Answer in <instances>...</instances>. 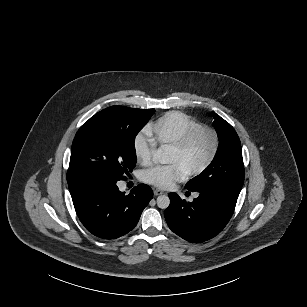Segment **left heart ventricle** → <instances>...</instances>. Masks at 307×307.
Here are the masks:
<instances>
[{
	"mask_svg": "<svg viewBox=\"0 0 307 307\" xmlns=\"http://www.w3.org/2000/svg\"><path fill=\"white\" fill-rule=\"evenodd\" d=\"M212 146V137L209 134H203L183 152L168 149L163 161L177 163L188 172L199 166L207 158Z\"/></svg>",
	"mask_w": 307,
	"mask_h": 307,
	"instance_id": "left-heart-ventricle-1",
	"label": "left heart ventricle"
}]
</instances>
